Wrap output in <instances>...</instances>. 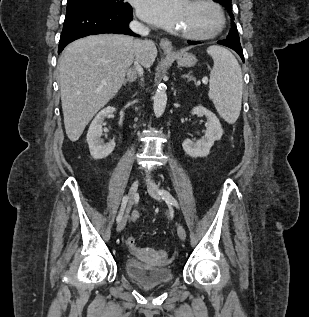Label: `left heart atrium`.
Masks as SVG:
<instances>
[{"label":"left heart atrium","mask_w":309,"mask_h":317,"mask_svg":"<svg viewBox=\"0 0 309 317\" xmlns=\"http://www.w3.org/2000/svg\"><path fill=\"white\" fill-rule=\"evenodd\" d=\"M187 0H140L138 15L143 20L163 29L180 30Z\"/></svg>","instance_id":"left-heart-atrium-1"}]
</instances>
